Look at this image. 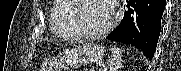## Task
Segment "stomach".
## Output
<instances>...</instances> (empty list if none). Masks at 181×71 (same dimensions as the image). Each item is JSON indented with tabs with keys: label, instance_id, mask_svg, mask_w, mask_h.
<instances>
[{
	"label": "stomach",
	"instance_id": "obj_1",
	"mask_svg": "<svg viewBox=\"0 0 181 71\" xmlns=\"http://www.w3.org/2000/svg\"><path fill=\"white\" fill-rule=\"evenodd\" d=\"M104 54L105 49L103 46L92 43L78 45L73 49L63 52L60 58L54 60L56 66H47L45 69H48L46 71H60V69H67L68 67L93 64L101 61Z\"/></svg>",
	"mask_w": 181,
	"mask_h": 71
}]
</instances>
